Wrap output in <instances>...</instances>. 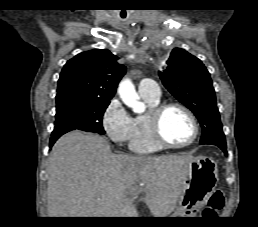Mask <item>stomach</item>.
<instances>
[{
  "mask_svg": "<svg viewBox=\"0 0 258 227\" xmlns=\"http://www.w3.org/2000/svg\"><path fill=\"white\" fill-rule=\"evenodd\" d=\"M183 178L178 207L170 217H192L210 198L218 182L216 163L198 156L182 168Z\"/></svg>",
  "mask_w": 258,
  "mask_h": 227,
  "instance_id": "stomach-1",
  "label": "stomach"
}]
</instances>
